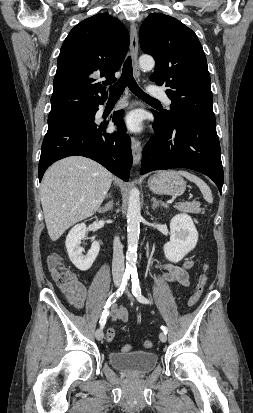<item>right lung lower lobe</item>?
<instances>
[{"label":"right lung lower lobe","instance_id":"right-lung-lower-lobe-1","mask_svg":"<svg viewBox=\"0 0 253 413\" xmlns=\"http://www.w3.org/2000/svg\"><path fill=\"white\" fill-rule=\"evenodd\" d=\"M98 106L93 107L94 114ZM122 111L113 114L118 131L106 133L107 123H95L94 118L48 129L41 148L38 174L41 181L46 169L68 156H85L102 164L114 175L128 181L132 165L131 140L121 120Z\"/></svg>","mask_w":253,"mask_h":413}]
</instances>
